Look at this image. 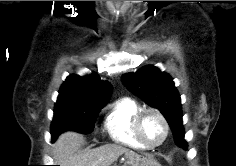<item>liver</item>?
I'll return each mask as SVG.
<instances>
[{"mask_svg":"<svg viewBox=\"0 0 236 166\" xmlns=\"http://www.w3.org/2000/svg\"><path fill=\"white\" fill-rule=\"evenodd\" d=\"M84 138L76 132L61 134L53 150L55 160L61 166H111L117 159L124 155L125 165L146 166L147 158L142 157L132 150L121 145L107 144L85 152H79Z\"/></svg>","mask_w":236,"mask_h":166,"instance_id":"obj_1","label":"liver"}]
</instances>
